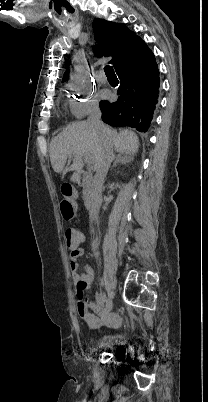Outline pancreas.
Returning a JSON list of instances; mask_svg holds the SVG:
<instances>
[{
	"label": "pancreas",
	"mask_w": 208,
	"mask_h": 402,
	"mask_svg": "<svg viewBox=\"0 0 208 402\" xmlns=\"http://www.w3.org/2000/svg\"><path fill=\"white\" fill-rule=\"evenodd\" d=\"M82 194H83V196H89L90 190H88V188H83Z\"/></svg>",
	"instance_id": "cf45deb5"
}]
</instances>
